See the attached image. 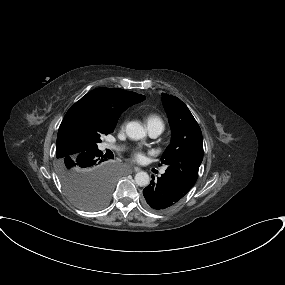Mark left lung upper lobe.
Listing matches in <instances>:
<instances>
[{
	"label": "left lung upper lobe",
	"mask_w": 285,
	"mask_h": 285,
	"mask_svg": "<svg viewBox=\"0 0 285 285\" xmlns=\"http://www.w3.org/2000/svg\"><path fill=\"white\" fill-rule=\"evenodd\" d=\"M162 102L171 126V143L161 157L166 172L191 185L197 180L203 159L201 129L188 107L177 97L162 93Z\"/></svg>",
	"instance_id": "obj_1"
}]
</instances>
